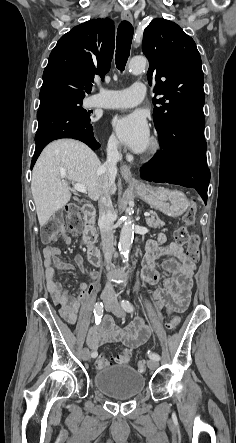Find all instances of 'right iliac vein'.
Returning <instances> with one entry per match:
<instances>
[{"label":"right iliac vein","mask_w":236,"mask_h":443,"mask_svg":"<svg viewBox=\"0 0 236 443\" xmlns=\"http://www.w3.org/2000/svg\"><path fill=\"white\" fill-rule=\"evenodd\" d=\"M113 308V304H110V303H106L105 305H104V309L106 310V311H109V310H111ZM81 358L83 359V360H85V361H87V360H89L90 359V351H89V349L88 348H83L82 350H81Z\"/></svg>","instance_id":"right-iliac-vein-1"}]
</instances>
